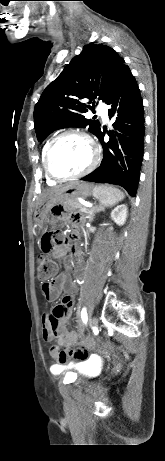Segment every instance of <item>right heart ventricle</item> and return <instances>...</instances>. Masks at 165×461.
<instances>
[{
	"mask_svg": "<svg viewBox=\"0 0 165 461\" xmlns=\"http://www.w3.org/2000/svg\"><path fill=\"white\" fill-rule=\"evenodd\" d=\"M50 143V141H47L45 143V145L43 146V150H42V159H44V154H45V151H46V148L48 146V144ZM47 177V180L49 182V184H53L55 182V180L51 179L50 177L46 176Z\"/></svg>",
	"mask_w": 165,
	"mask_h": 461,
	"instance_id": "right-heart-ventricle-1",
	"label": "right heart ventricle"
}]
</instances>
